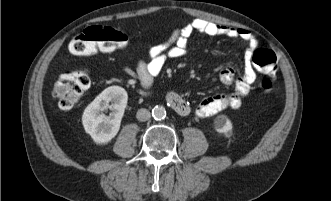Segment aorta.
<instances>
[{
    "label": "aorta",
    "instance_id": "aorta-1",
    "mask_svg": "<svg viewBox=\"0 0 331 201\" xmlns=\"http://www.w3.org/2000/svg\"><path fill=\"white\" fill-rule=\"evenodd\" d=\"M152 116L155 120H163L166 118V109L163 106L157 105L152 109Z\"/></svg>",
    "mask_w": 331,
    "mask_h": 201
}]
</instances>
